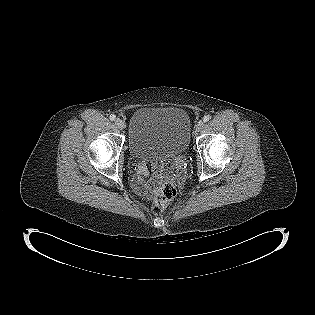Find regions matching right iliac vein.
Returning <instances> with one entry per match:
<instances>
[{
    "mask_svg": "<svg viewBox=\"0 0 315 315\" xmlns=\"http://www.w3.org/2000/svg\"><path fill=\"white\" fill-rule=\"evenodd\" d=\"M115 125L117 126V128H119V129H124L125 128V122L122 120V119H120V118H117L116 120H115Z\"/></svg>",
    "mask_w": 315,
    "mask_h": 315,
    "instance_id": "right-iliac-vein-1",
    "label": "right iliac vein"
}]
</instances>
